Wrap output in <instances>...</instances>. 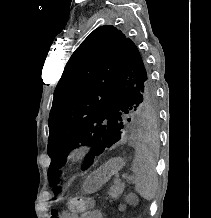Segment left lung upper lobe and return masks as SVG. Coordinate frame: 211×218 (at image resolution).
<instances>
[{"mask_svg": "<svg viewBox=\"0 0 211 218\" xmlns=\"http://www.w3.org/2000/svg\"><path fill=\"white\" fill-rule=\"evenodd\" d=\"M156 118L155 90L136 45L112 25L95 29L70 57L54 92L48 179L55 194L57 170L79 143L93 147L85 170L130 126L147 127Z\"/></svg>", "mask_w": 211, "mask_h": 218, "instance_id": "5c2ea615", "label": "left lung upper lobe"}]
</instances>
